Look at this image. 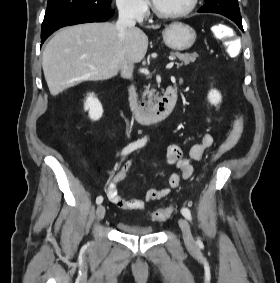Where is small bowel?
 <instances>
[{"label": "small bowel", "instance_id": "c3829d8e", "mask_svg": "<svg viewBox=\"0 0 280 283\" xmlns=\"http://www.w3.org/2000/svg\"><path fill=\"white\" fill-rule=\"evenodd\" d=\"M236 126L237 122L235 121L226 141H228L232 137ZM213 142L214 139L210 134H203L201 142L194 144L191 147L188 155H185L183 153V150L180 146L175 144L169 145L166 150V160L170 165L176 166L179 169V172L173 173L169 177V187L150 189L147 191L143 199H125L120 195L118 191V184L125 179L132 165L130 161H125L121 168L111 176V179L106 185V194L109 201L120 209L129 211L143 210L147 202L162 199L170 193L171 189L177 188L182 180H188L189 178H191L193 174V162L202 160L204 153L213 145ZM235 143L231 146V148H233Z\"/></svg>", "mask_w": 280, "mask_h": 283}]
</instances>
